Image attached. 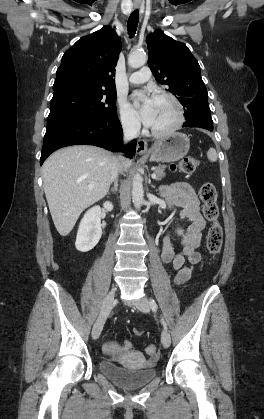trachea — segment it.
Masks as SVG:
<instances>
[{
	"label": "trachea",
	"instance_id": "obj_1",
	"mask_svg": "<svg viewBox=\"0 0 264 419\" xmlns=\"http://www.w3.org/2000/svg\"><path fill=\"white\" fill-rule=\"evenodd\" d=\"M138 20H139V12L138 10H134L129 19H128V23H127V29H128V34L133 37L135 35V32L137 30V26H138Z\"/></svg>",
	"mask_w": 264,
	"mask_h": 419
}]
</instances>
